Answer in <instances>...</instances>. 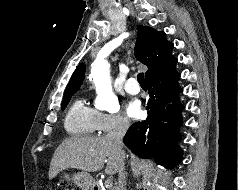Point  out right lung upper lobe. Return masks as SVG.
I'll return each mask as SVG.
<instances>
[{
    "label": "right lung upper lobe",
    "instance_id": "right-lung-upper-lobe-1",
    "mask_svg": "<svg viewBox=\"0 0 238 190\" xmlns=\"http://www.w3.org/2000/svg\"><path fill=\"white\" fill-rule=\"evenodd\" d=\"M173 43L167 41L165 33L151 27L138 26V38L135 44V57L148 67L146 80L168 67L176 58L172 55ZM85 65L80 64L73 73L66 94L75 93L81 86Z\"/></svg>",
    "mask_w": 238,
    "mask_h": 190
}]
</instances>
